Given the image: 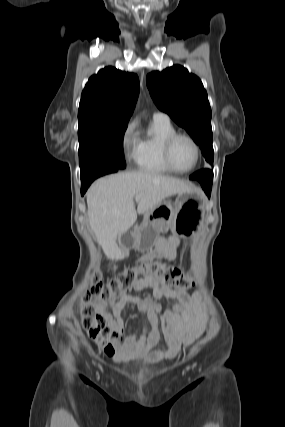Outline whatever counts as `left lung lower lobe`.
<instances>
[{"instance_id":"left-lung-lower-lobe-1","label":"left lung lower lobe","mask_w":285,"mask_h":427,"mask_svg":"<svg viewBox=\"0 0 285 427\" xmlns=\"http://www.w3.org/2000/svg\"><path fill=\"white\" fill-rule=\"evenodd\" d=\"M190 180H198L205 193L210 197L212 181H213V172L209 169L200 170L189 177Z\"/></svg>"}]
</instances>
